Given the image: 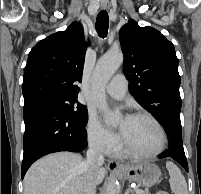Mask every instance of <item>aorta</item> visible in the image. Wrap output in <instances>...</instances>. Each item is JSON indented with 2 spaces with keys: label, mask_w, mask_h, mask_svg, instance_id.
<instances>
[{
  "label": "aorta",
  "mask_w": 201,
  "mask_h": 194,
  "mask_svg": "<svg viewBox=\"0 0 201 194\" xmlns=\"http://www.w3.org/2000/svg\"><path fill=\"white\" fill-rule=\"evenodd\" d=\"M122 63L123 54L121 51L108 52L98 60L92 74L94 102L98 109L106 115L107 120L112 125H115L118 122L120 113H113L108 109L105 97V87ZM117 187V180L112 178L106 187L105 194H117Z\"/></svg>",
  "instance_id": "aorta-1"
}]
</instances>
